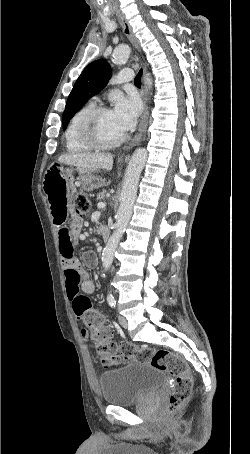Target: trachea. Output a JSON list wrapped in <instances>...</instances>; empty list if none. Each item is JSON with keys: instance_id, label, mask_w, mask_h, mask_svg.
<instances>
[{"instance_id": "1", "label": "trachea", "mask_w": 250, "mask_h": 454, "mask_svg": "<svg viewBox=\"0 0 250 454\" xmlns=\"http://www.w3.org/2000/svg\"><path fill=\"white\" fill-rule=\"evenodd\" d=\"M141 77H142V69H140V71L138 72V74L136 75V77L134 79L135 85H137V86L141 85Z\"/></svg>"}]
</instances>
